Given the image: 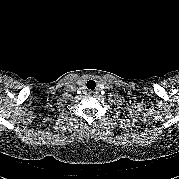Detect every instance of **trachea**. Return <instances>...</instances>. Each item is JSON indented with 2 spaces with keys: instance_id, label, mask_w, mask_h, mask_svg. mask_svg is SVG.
Wrapping results in <instances>:
<instances>
[{
  "instance_id": "1",
  "label": "trachea",
  "mask_w": 179,
  "mask_h": 179,
  "mask_svg": "<svg viewBox=\"0 0 179 179\" xmlns=\"http://www.w3.org/2000/svg\"><path fill=\"white\" fill-rule=\"evenodd\" d=\"M86 86L88 89L94 90L96 87V82L94 80H89L87 81Z\"/></svg>"
}]
</instances>
